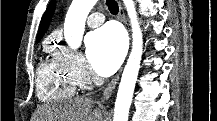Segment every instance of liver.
Returning <instances> with one entry per match:
<instances>
[{"instance_id":"obj_1","label":"liver","mask_w":217,"mask_h":121,"mask_svg":"<svg viewBox=\"0 0 217 121\" xmlns=\"http://www.w3.org/2000/svg\"><path fill=\"white\" fill-rule=\"evenodd\" d=\"M99 108L94 109L91 99H68L60 104L43 106L38 110L37 121H102Z\"/></svg>"}]
</instances>
